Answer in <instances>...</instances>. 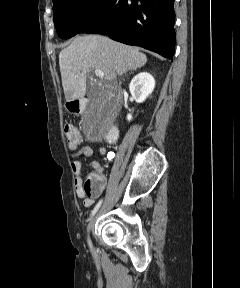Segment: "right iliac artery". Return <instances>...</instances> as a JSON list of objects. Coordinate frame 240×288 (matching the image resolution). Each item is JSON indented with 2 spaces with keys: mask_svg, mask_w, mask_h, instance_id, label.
I'll list each match as a JSON object with an SVG mask.
<instances>
[{
  "mask_svg": "<svg viewBox=\"0 0 240 288\" xmlns=\"http://www.w3.org/2000/svg\"><path fill=\"white\" fill-rule=\"evenodd\" d=\"M103 202V199H101L97 204L96 206L94 207V209L91 211V217L98 211V209L100 208L101 204ZM88 244L90 246V248H92V244H91V241L88 239Z\"/></svg>",
  "mask_w": 240,
  "mask_h": 288,
  "instance_id": "right-iliac-artery-1",
  "label": "right iliac artery"
}]
</instances>
